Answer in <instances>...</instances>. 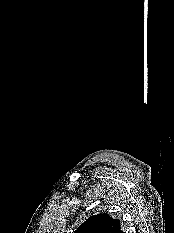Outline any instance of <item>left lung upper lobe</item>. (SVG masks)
I'll return each mask as SVG.
<instances>
[{
  "mask_svg": "<svg viewBox=\"0 0 174 233\" xmlns=\"http://www.w3.org/2000/svg\"><path fill=\"white\" fill-rule=\"evenodd\" d=\"M74 233H122L120 220L106 213L89 217Z\"/></svg>",
  "mask_w": 174,
  "mask_h": 233,
  "instance_id": "5c2ea615",
  "label": "left lung upper lobe"
}]
</instances>
